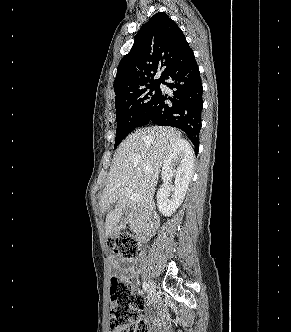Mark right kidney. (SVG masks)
<instances>
[{
  "label": "right kidney",
  "instance_id": "1",
  "mask_svg": "<svg viewBox=\"0 0 291 332\" xmlns=\"http://www.w3.org/2000/svg\"><path fill=\"white\" fill-rule=\"evenodd\" d=\"M177 166V168H176ZM193 151L185 140L172 145L162 167L164 187L157 194V206L164 216H171L183 202L193 174ZM174 180V195L169 197V185Z\"/></svg>",
  "mask_w": 291,
  "mask_h": 332
}]
</instances>
